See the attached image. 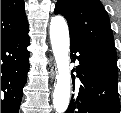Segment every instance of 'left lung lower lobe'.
<instances>
[{"label": "left lung lower lobe", "instance_id": "1", "mask_svg": "<svg viewBox=\"0 0 121 113\" xmlns=\"http://www.w3.org/2000/svg\"><path fill=\"white\" fill-rule=\"evenodd\" d=\"M70 42L72 62L78 61L73 70L82 85L78 94L72 95L65 113H120L118 72L88 52L79 42L72 39Z\"/></svg>", "mask_w": 121, "mask_h": 113}]
</instances>
